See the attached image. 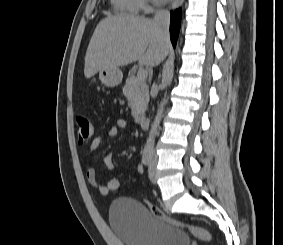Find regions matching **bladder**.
Instances as JSON below:
<instances>
[{"mask_svg":"<svg viewBox=\"0 0 283 245\" xmlns=\"http://www.w3.org/2000/svg\"><path fill=\"white\" fill-rule=\"evenodd\" d=\"M109 222L125 245H190L185 232L155 217L135 199L114 200L109 208Z\"/></svg>","mask_w":283,"mask_h":245,"instance_id":"1","label":"bladder"}]
</instances>
